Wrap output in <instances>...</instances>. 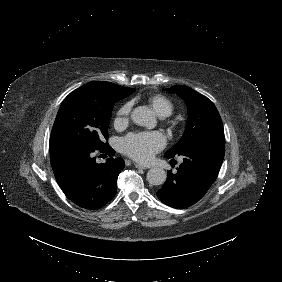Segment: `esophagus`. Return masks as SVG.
Here are the masks:
<instances>
[{
    "label": "esophagus",
    "instance_id": "obj_1",
    "mask_svg": "<svg viewBox=\"0 0 282 282\" xmlns=\"http://www.w3.org/2000/svg\"><path fill=\"white\" fill-rule=\"evenodd\" d=\"M134 165H135V167L138 168V169H147V168H148V167H145V166H143V165H141V164H138V163H135Z\"/></svg>",
    "mask_w": 282,
    "mask_h": 282
}]
</instances>
